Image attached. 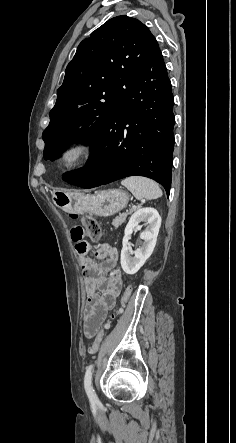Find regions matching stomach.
<instances>
[{"instance_id": "0dacf381", "label": "stomach", "mask_w": 236, "mask_h": 443, "mask_svg": "<svg viewBox=\"0 0 236 443\" xmlns=\"http://www.w3.org/2000/svg\"><path fill=\"white\" fill-rule=\"evenodd\" d=\"M54 203L66 212H89L108 217L122 210L128 203L129 197L120 189H108L85 195L80 192H56Z\"/></svg>"}]
</instances>
